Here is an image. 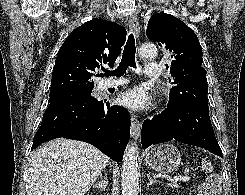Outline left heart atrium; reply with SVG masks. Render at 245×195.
Masks as SVG:
<instances>
[{
  "mask_svg": "<svg viewBox=\"0 0 245 195\" xmlns=\"http://www.w3.org/2000/svg\"><path fill=\"white\" fill-rule=\"evenodd\" d=\"M119 100L122 106L134 111L145 110L151 104L150 96L140 87L123 92Z\"/></svg>",
  "mask_w": 245,
  "mask_h": 195,
  "instance_id": "left-heart-atrium-1",
  "label": "left heart atrium"
}]
</instances>
